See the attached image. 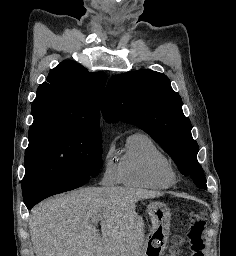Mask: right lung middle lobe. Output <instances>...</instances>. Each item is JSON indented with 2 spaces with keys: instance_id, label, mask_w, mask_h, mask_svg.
<instances>
[{
  "instance_id": "right-lung-middle-lobe-1",
  "label": "right lung middle lobe",
  "mask_w": 236,
  "mask_h": 256,
  "mask_svg": "<svg viewBox=\"0 0 236 256\" xmlns=\"http://www.w3.org/2000/svg\"><path fill=\"white\" fill-rule=\"evenodd\" d=\"M102 167L101 131L74 124L31 125L23 197L40 189L96 176Z\"/></svg>"
}]
</instances>
